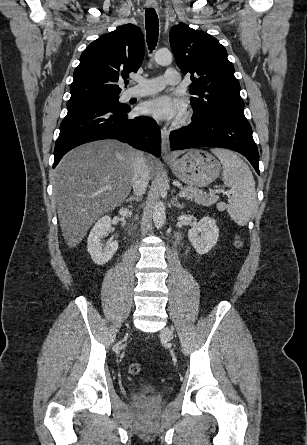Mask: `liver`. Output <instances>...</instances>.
<instances>
[{
  "label": "liver",
  "mask_w": 307,
  "mask_h": 445,
  "mask_svg": "<svg viewBox=\"0 0 307 445\" xmlns=\"http://www.w3.org/2000/svg\"><path fill=\"white\" fill-rule=\"evenodd\" d=\"M137 152L119 140H94L73 148L60 160L53 174V196L69 249L81 243L97 218L128 196ZM156 162L147 156L151 176Z\"/></svg>",
  "instance_id": "liver-1"
}]
</instances>
